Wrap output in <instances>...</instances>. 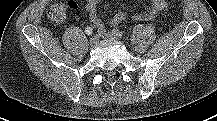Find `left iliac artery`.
Instances as JSON below:
<instances>
[{
    "mask_svg": "<svg viewBox=\"0 0 217 121\" xmlns=\"http://www.w3.org/2000/svg\"><path fill=\"white\" fill-rule=\"evenodd\" d=\"M112 32L119 38L123 37V32L118 29H113Z\"/></svg>",
    "mask_w": 217,
    "mask_h": 121,
    "instance_id": "left-iliac-artery-1",
    "label": "left iliac artery"
}]
</instances>
